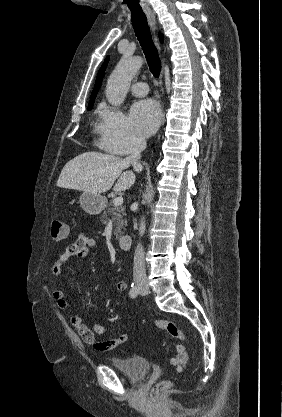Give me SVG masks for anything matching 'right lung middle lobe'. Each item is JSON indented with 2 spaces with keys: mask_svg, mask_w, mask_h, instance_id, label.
I'll return each mask as SVG.
<instances>
[{
  "mask_svg": "<svg viewBox=\"0 0 282 417\" xmlns=\"http://www.w3.org/2000/svg\"><path fill=\"white\" fill-rule=\"evenodd\" d=\"M95 97H96V95L90 96V102H89V105H88V110L92 109Z\"/></svg>",
  "mask_w": 282,
  "mask_h": 417,
  "instance_id": "obj_1",
  "label": "right lung middle lobe"
}]
</instances>
